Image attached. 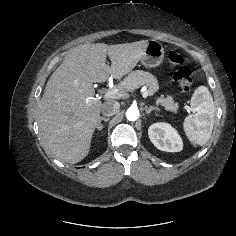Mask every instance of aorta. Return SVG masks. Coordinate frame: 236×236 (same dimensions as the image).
I'll return each instance as SVG.
<instances>
[{"instance_id":"762f6f07","label":"aorta","mask_w":236,"mask_h":236,"mask_svg":"<svg viewBox=\"0 0 236 236\" xmlns=\"http://www.w3.org/2000/svg\"><path fill=\"white\" fill-rule=\"evenodd\" d=\"M139 117V110L137 107H129L126 111V118L129 121H136Z\"/></svg>"}]
</instances>
